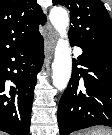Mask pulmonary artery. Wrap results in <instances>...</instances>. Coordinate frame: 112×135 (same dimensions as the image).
<instances>
[{"label":"pulmonary artery","instance_id":"obj_1","mask_svg":"<svg viewBox=\"0 0 112 135\" xmlns=\"http://www.w3.org/2000/svg\"><path fill=\"white\" fill-rule=\"evenodd\" d=\"M76 51H80V49L79 48H76Z\"/></svg>","mask_w":112,"mask_h":135}]
</instances>
